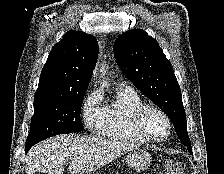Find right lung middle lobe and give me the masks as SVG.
I'll use <instances>...</instances> for the list:
<instances>
[{
	"label": "right lung middle lobe",
	"instance_id": "dd1d6c3e",
	"mask_svg": "<svg viewBox=\"0 0 224 174\" xmlns=\"http://www.w3.org/2000/svg\"><path fill=\"white\" fill-rule=\"evenodd\" d=\"M83 96L34 98V115L26 146L51 136L83 130L80 120Z\"/></svg>",
	"mask_w": 224,
	"mask_h": 174
}]
</instances>
